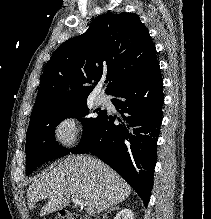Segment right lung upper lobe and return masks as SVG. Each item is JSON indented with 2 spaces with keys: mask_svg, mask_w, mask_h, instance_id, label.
<instances>
[{
  "mask_svg": "<svg viewBox=\"0 0 211 219\" xmlns=\"http://www.w3.org/2000/svg\"><path fill=\"white\" fill-rule=\"evenodd\" d=\"M148 29L136 14H104L80 36L62 43L47 63L31 118L86 99L106 77L105 93L141 74L156 61ZM72 93L66 91L68 85Z\"/></svg>",
  "mask_w": 211,
  "mask_h": 219,
  "instance_id": "right-lung-upper-lobe-1",
  "label": "right lung upper lobe"
}]
</instances>
